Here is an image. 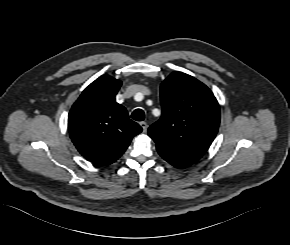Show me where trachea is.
I'll return each instance as SVG.
<instances>
[{"label": "trachea", "instance_id": "trachea-1", "mask_svg": "<svg viewBox=\"0 0 290 245\" xmlns=\"http://www.w3.org/2000/svg\"><path fill=\"white\" fill-rule=\"evenodd\" d=\"M131 117L135 121H143L145 118V114H144V111L142 109H136L133 111Z\"/></svg>", "mask_w": 290, "mask_h": 245}]
</instances>
